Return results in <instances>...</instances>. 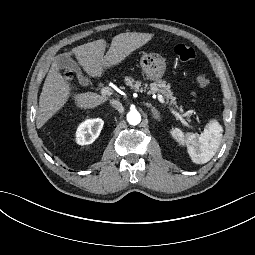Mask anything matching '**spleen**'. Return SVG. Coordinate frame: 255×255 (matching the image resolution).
Returning a JSON list of instances; mask_svg holds the SVG:
<instances>
[{"instance_id": "spleen-1", "label": "spleen", "mask_w": 255, "mask_h": 255, "mask_svg": "<svg viewBox=\"0 0 255 255\" xmlns=\"http://www.w3.org/2000/svg\"><path fill=\"white\" fill-rule=\"evenodd\" d=\"M171 136L181 140L184 134L181 129L174 128L171 130ZM222 137L223 127L218 122L212 123L200 137L193 139V148L188 150L191 161L194 164H205L210 161L217 152Z\"/></svg>"}]
</instances>
